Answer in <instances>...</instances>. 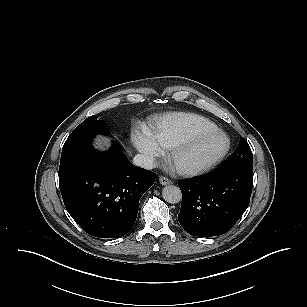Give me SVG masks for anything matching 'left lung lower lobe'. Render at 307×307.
Here are the masks:
<instances>
[{"instance_id":"obj_1","label":"left lung lower lobe","mask_w":307,"mask_h":307,"mask_svg":"<svg viewBox=\"0 0 307 307\" xmlns=\"http://www.w3.org/2000/svg\"><path fill=\"white\" fill-rule=\"evenodd\" d=\"M182 191L181 226L193 236H219L230 230L249 205L251 168H221L178 182Z\"/></svg>"}]
</instances>
